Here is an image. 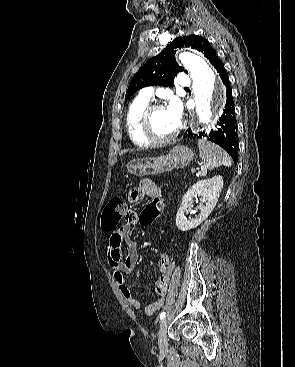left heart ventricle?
<instances>
[{
  "label": "left heart ventricle",
  "instance_id": "obj_1",
  "mask_svg": "<svg viewBox=\"0 0 295 367\" xmlns=\"http://www.w3.org/2000/svg\"><path fill=\"white\" fill-rule=\"evenodd\" d=\"M152 128L156 135L167 137L173 134L178 126L168 115L166 108L157 110L152 117Z\"/></svg>",
  "mask_w": 295,
  "mask_h": 367
}]
</instances>
